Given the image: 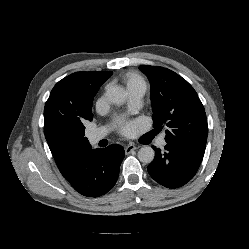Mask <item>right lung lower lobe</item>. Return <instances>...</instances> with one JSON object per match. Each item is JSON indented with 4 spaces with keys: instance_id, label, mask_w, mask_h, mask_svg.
Segmentation results:
<instances>
[{
    "instance_id": "right-lung-lower-lobe-1",
    "label": "right lung lower lobe",
    "mask_w": 249,
    "mask_h": 249,
    "mask_svg": "<svg viewBox=\"0 0 249 249\" xmlns=\"http://www.w3.org/2000/svg\"><path fill=\"white\" fill-rule=\"evenodd\" d=\"M124 155L123 147L118 144L79 150L71 156L66 169L60 172L80 194L98 197L115 185Z\"/></svg>"
}]
</instances>
